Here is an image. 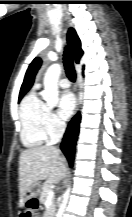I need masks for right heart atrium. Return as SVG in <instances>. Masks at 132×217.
<instances>
[{
    "label": "right heart atrium",
    "mask_w": 132,
    "mask_h": 217,
    "mask_svg": "<svg viewBox=\"0 0 132 217\" xmlns=\"http://www.w3.org/2000/svg\"><path fill=\"white\" fill-rule=\"evenodd\" d=\"M45 130L50 139H55L61 135L64 130L63 121L51 110H48L46 115Z\"/></svg>",
    "instance_id": "d8ad5b80"
}]
</instances>
